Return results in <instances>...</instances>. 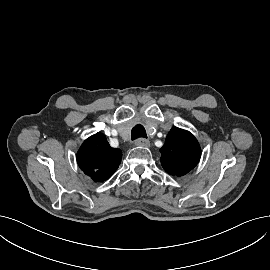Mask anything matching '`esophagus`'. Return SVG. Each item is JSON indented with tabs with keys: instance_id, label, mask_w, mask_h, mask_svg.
I'll return each instance as SVG.
<instances>
[{
	"instance_id": "1",
	"label": "esophagus",
	"mask_w": 270,
	"mask_h": 270,
	"mask_svg": "<svg viewBox=\"0 0 270 270\" xmlns=\"http://www.w3.org/2000/svg\"><path fill=\"white\" fill-rule=\"evenodd\" d=\"M135 145L136 146H140V147H149L150 146V142L149 140L145 139V138H139L135 141Z\"/></svg>"
}]
</instances>
